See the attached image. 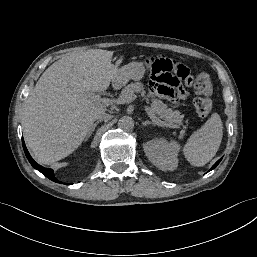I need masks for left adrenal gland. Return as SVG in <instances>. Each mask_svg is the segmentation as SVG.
<instances>
[{
  "label": "left adrenal gland",
  "instance_id": "left-adrenal-gland-1",
  "mask_svg": "<svg viewBox=\"0 0 257 257\" xmlns=\"http://www.w3.org/2000/svg\"><path fill=\"white\" fill-rule=\"evenodd\" d=\"M149 124L155 126V123H154V122H151V121H149V120H146V121L142 122V126H146V125H149Z\"/></svg>",
  "mask_w": 257,
  "mask_h": 257
}]
</instances>
